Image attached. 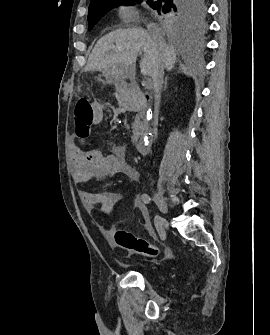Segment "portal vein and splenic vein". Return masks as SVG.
I'll use <instances>...</instances> for the list:
<instances>
[{
    "label": "portal vein and splenic vein",
    "mask_w": 270,
    "mask_h": 335,
    "mask_svg": "<svg viewBox=\"0 0 270 335\" xmlns=\"http://www.w3.org/2000/svg\"><path fill=\"white\" fill-rule=\"evenodd\" d=\"M153 86V80L149 79L148 82L146 83V85L144 86V89L146 91H149L151 89V87Z\"/></svg>",
    "instance_id": "1"
}]
</instances>
